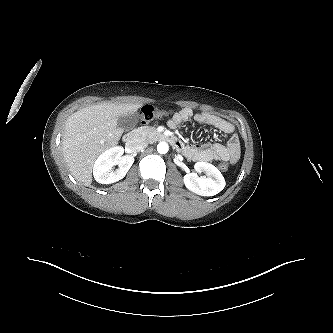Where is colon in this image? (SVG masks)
<instances>
[{
	"mask_svg": "<svg viewBox=\"0 0 333 333\" xmlns=\"http://www.w3.org/2000/svg\"><path fill=\"white\" fill-rule=\"evenodd\" d=\"M171 112L169 110H158L153 108L152 106H144L141 110V122L148 123L153 119L161 118L168 116ZM219 169L222 172H226L228 170V163L222 162L219 164Z\"/></svg>",
	"mask_w": 333,
	"mask_h": 333,
	"instance_id": "1",
	"label": "colon"
}]
</instances>
